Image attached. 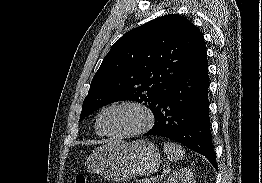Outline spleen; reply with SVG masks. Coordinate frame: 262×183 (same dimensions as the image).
Returning <instances> with one entry per match:
<instances>
[{
	"mask_svg": "<svg viewBox=\"0 0 262 183\" xmlns=\"http://www.w3.org/2000/svg\"><path fill=\"white\" fill-rule=\"evenodd\" d=\"M164 151L170 161H179L185 156V150L177 143H164Z\"/></svg>",
	"mask_w": 262,
	"mask_h": 183,
	"instance_id": "3e777b00",
	"label": "spleen"
}]
</instances>
